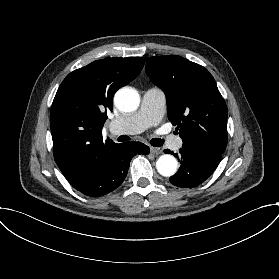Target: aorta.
I'll return each mask as SVG.
<instances>
[{"mask_svg":"<svg viewBox=\"0 0 279 279\" xmlns=\"http://www.w3.org/2000/svg\"><path fill=\"white\" fill-rule=\"evenodd\" d=\"M114 104L121 111L131 112L138 108L140 96L133 88H121L114 96ZM156 169L160 175L170 177L177 172L178 162L174 156L164 154L156 161Z\"/></svg>","mask_w":279,"mask_h":279,"instance_id":"aorta-1","label":"aorta"}]
</instances>
